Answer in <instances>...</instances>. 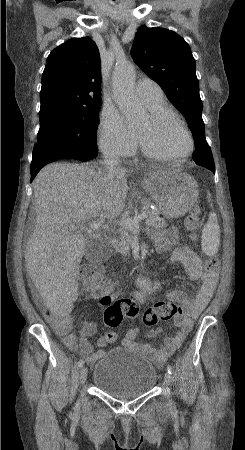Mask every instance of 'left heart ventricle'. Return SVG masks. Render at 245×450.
I'll return each mask as SVG.
<instances>
[{
    "label": "left heart ventricle",
    "instance_id": "left-heart-ventricle-1",
    "mask_svg": "<svg viewBox=\"0 0 245 450\" xmlns=\"http://www.w3.org/2000/svg\"><path fill=\"white\" fill-rule=\"evenodd\" d=\"M137 132L151 150L162 155H181L189 149V140L185 132L171 119L155 123L148 115L137 127Z\"/></svg>",
    "mask_w": 245,
    "mask_h": 450
}]
</instances>
